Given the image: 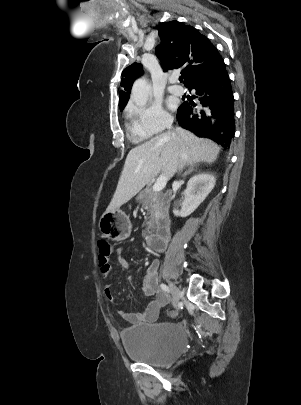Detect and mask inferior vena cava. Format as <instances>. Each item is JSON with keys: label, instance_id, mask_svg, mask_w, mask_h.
<instances>
[{"label": "inferior vena cava", "instance_id": "602c4592", "mask_svg": "<svg viewBox=\"0 0 301 405\" xmlns=\"http://www.w3.org/2000/svg\"><path fill=\"white\" fill-rule=\"evenodd\" d=\"M172 123H173V121H169V122L167 123V128H168V129H172ZM175 132H176L178 135H181V134H182V130L179 129V128H177V129L175 130ZM187 159H188L187 150L185 149V147L182 146V147H181V150H180V159H179L178 166H177V170H178V171H180V170L183 169L184 165H185L186 162H187Z\"/></svg>", "mask_w": 301, "mask_h": 405}]
</instances>
